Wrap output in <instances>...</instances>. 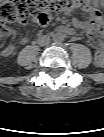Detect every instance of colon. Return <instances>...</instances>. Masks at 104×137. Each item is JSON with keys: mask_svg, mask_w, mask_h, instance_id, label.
I'll use <instances>...</instances> for the list:
<instances>
[{"mask_svg": "<svg viewBox=\"0 0 104 137\" xmlns=\"http://www.w3.org/2000/svg\"><path fill=\"white\" fill-rule=\"evenodd\" d=\"M88 5L95 9L104 6L103 0H5L0 6V33L10 32L13 23L36 17L46 23L54 12L70 11Z\"/></svg>", "mask_w": 104, "mask_h": 137, "instance_id": "5ec220e1", "label": "colon"}]
</instances>
